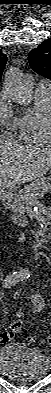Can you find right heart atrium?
<instances>
[{"label":"right heart atrium","mask_w":51,"mask_h":393,"mask_svg":"<svg viewBox=\"0 0 51 393\" xmlns=\"http://www.w3.org/2000/svg\"><path fill=\"white\" fill-rule=\"evenodd\" d=\"M0 124L4 128L9 126L17 127L18 124V118L15 117L7 101H3L0 105Z\"/></svg>","instance_id":"obj_1"}]
</instances>
